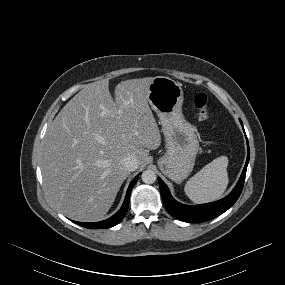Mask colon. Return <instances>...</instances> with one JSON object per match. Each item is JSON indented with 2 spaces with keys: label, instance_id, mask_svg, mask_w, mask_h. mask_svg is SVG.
Returning <instances> with one entry per match:
<instances>
[{
  "label": "colon",
  "instance_id": "5ec220e1",
  "mask_svg": "<svg viewBox=\"0 0 285 285\" xmlns=\"http://www.w3.org/2000/svg\"><path fill=\"white\" fill-rule=\"evenodd\" d=\"M194 105L200 121L207 122L211 119L209 100L205 93L200 92L195 96Z\"/></svg>",
  "mask_w": 285,
  "mask_h": 285
}]
</instances>
